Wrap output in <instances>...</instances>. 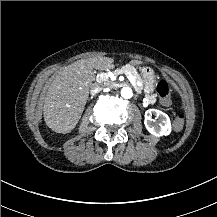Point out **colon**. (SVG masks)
Listing matches in <instances>:
<instances>
[{
  "label": "colon",
  "instance_id": "1",
  "mask_svg": "<svg viewBox=\"0 0 217 217\" xmlns=\"http://www.w3.org/2000/svg\"><path fill=\"white\" fill-rule=\"evenodd\" d=\"M157 93L161 99V103L165 107L171 106V88L170 84L166 80H160L157 83ZM185 125V115L183 113H178L174 116L173 127L177 131H181Z\"/></svg>",
  "mask_w": 217,
  "mask_h": 217
}]
</instances>
